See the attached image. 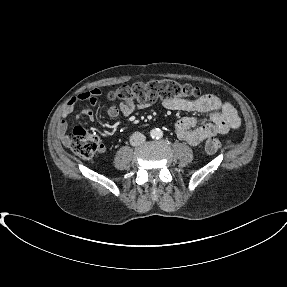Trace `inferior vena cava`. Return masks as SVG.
<instances>
[{
    "label": "inferior vena cava",
    "mask_w": 287,
    "mask_h": 287,
    "mask_svg": "<svg viewBox=\"0 0 287 287\" xmlns=\"http://www.w3.org/2000/svg\"><path fill=\"white\" fill-rule=\"evenodd\" d=\"M146 140V137L144 134L140 133V132H135L131 135L130 137V144L132 146H139L141 144H143Z\"/></svg>",
    "instance_id": "602c4592"
}]
</instances>
